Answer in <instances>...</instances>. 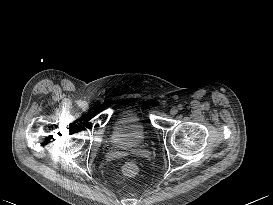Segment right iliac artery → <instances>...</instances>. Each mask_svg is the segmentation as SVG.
<instances>
[{"label": "right iliac artery", "mask_w": 273, "mask_h": 205, "mask_svg": "<svg viewBox=\"0 0 273 205\" xmlns=\"http://www.w3.org/2000/svg\"><path fill=\"white\" fill-rule=\"evenodd\" d=\"M77 104H78L79 106H82L83 102L79 100V101H77Z\"/></svg>", "instance_id": "82829eb1"}]
</instances>
